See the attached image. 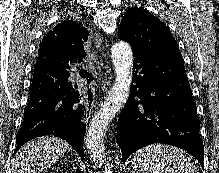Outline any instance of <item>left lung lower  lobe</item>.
Here are the masks:
<instances>
[{"label":"left lung lower lobe","mask_w":219,"mask_h":173,"mask_svg":"<svg viewBox=\"0 0 219 173\" xmlns=\"http://www.w3.org/2000/svg\"><path fill=\"white\" fill-rule=\"evenodd\" d=\"M133 53L131 94L117 123L123 161L139 148L163 143L186 150L203 166L200 120L183 59Z\"/></svg>","instance_id":"obj_1"}]
</instances>
